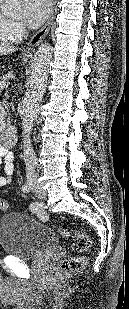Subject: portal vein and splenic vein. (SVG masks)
Listing matches in <instances>:
<instances>
[{
	"label": "portal vein and splenic vein",
	"instance_id": "18ae733b",
	"mask_svg": "<svg viewBox=\"0 0 129 309\" xmlns=\"http://www.w3.org/2000/svg\"><path fill=\"white\" fill-rule=\"evenodd\" d=\"M4 87H8V85H6V83L0 84V88H4Z\"/></svg>",
	"mask_w": 129,
	"mask_h": 309
}]
</instances>
